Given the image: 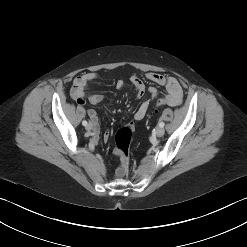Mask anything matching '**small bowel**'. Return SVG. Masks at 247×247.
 <instances>
[{
	"label": "small bowel",
	"instance_id": "1",
	"mask_svg": "<svg viewBox=\"0 0 247 247\" xmlns=\"http://www.w3.org/2000/svg\"><path fill=\"white\" fill-rule=\"evenodd\" d=\"M146 78L149 81L158 84L160 86H164L166 88L167 90L166 99L168 100L170 106H177L182 103L183 100L182 87L175 77H171V76L168 77L159 73L148 72L146 74ZM96 79H97V75L95 73H85L83 75L77 76L73 80V85L71 89L72 98H74L79 104H84L87 99L91 104L100 103L103 100L102 94H91L90 96H88V98L86 97L85 94L87 85ZM130 83L135 90V94L137 98H142L145 95L146 91H148L151 95V97L143 101L135 111L134 119L136 121H140L146 116L152 101L158 95V91L154 86L146 87L145 83L136 75H132L130 77ZM125 86L126 83L123 80H118L116 82V88L118 89H123ZM88 115L91 118L92 122L95 125H97V119H98L97 112L94 109H90L88 110ZM109 138H110V133L109 131H106L103 134V140L106 142L109 140Z\"/></svg>",
	"mask_w": 247,
	"mask_h": 247
}]
</instances>
